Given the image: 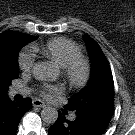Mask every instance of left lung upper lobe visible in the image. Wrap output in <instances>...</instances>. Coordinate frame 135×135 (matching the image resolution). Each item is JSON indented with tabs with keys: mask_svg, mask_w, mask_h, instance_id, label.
<instances>
[{
	"mask_svg": "<svg viewBox=\"0 0 135 135\" xmlns=\"http://www.w3.org/2000/svg\"><path fill=\"white\" fill-rule=\"evenodd\" d=\"M92 63L88 85L69 99L65 106L76 112L100 111L113 115L114 82L109 63L100 46L88 35L84 36Z\"/></svg>",
	"mask_w": 135,
	"mask_h": 135,
	"instance_id": "5c2ea615",
	"label": "left lung upper lobe"
}]
</instances>
